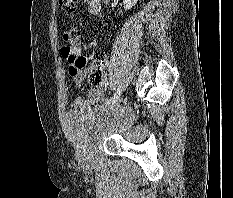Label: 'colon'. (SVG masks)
Instances as JSON below:
<instances>
[{
  "label": "colon",
  "mask_w": 233,
  "mask_h": 198,
  "mask_svg": "<svg viewBox=\"0 0 233 198\" xmlns=\"http://www.w3.org/2000/svg\"><path fill=\"white\" fill-rule=\"evenodd\" d=\"M60 4L64 7V10L67 14H73L76 10V4L74 0H60ZM63 39L68 44L66 47H74L80 43V33L76 29L66 30L63 34ZM90 80L94 85H99L101 83L102 72L99 66H97L91 72Z\"/></svg>",
  "instance_id": "obj_1"
}]
</instances>
